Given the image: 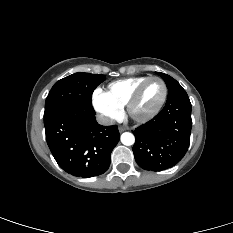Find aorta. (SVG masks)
Instances as JSON below:
<instances>
[{
    "label": "aorta",
    "instance_id": "762f6f07",
    "mask_svg": "<svg viewBox=\"0 0 233 233\" xmlns=\"http://www.w3.org/2000/svg\"><path fill=\"white\" fill-rule=\"evenodd\" d=\"M121 142L123 145L131 146L135 142V137L132 133L125 132L121 135Z\"/></svg>",
    "mask_w": 233,
    "mask_h": 233
}]
</instances>
